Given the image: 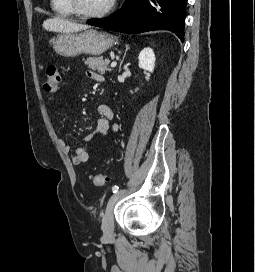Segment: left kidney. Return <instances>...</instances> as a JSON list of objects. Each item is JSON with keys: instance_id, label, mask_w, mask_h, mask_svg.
I'll return each instance as SVG.
<instances>
[{"instance_id": "1", "label": "left kidney", "mask_w": 255, "mask_h": 272, "mask_svg": "<svg viewBox=\"0 0 255 272\" xmlns=\"http://www.w3.org/2000/svg\"><path fill=\"white\" fill-rule=\"evenodd\" d=\"M139 67L141 69H144L146 71H149L153 73L154 68H155V54L153 49L151 48H144L140 54H139Z\"/></svg>"}]
</instances>
